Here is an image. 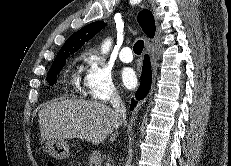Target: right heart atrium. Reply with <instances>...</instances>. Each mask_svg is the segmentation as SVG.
<instances>
[{
    "mask_svg": "<svg viewBox=\"0 0 231 166\" xmlns=\"http://www.w3.org/2000/svg\"><path fill=\"white\" fill-rule=\"evenodd\" d=\"M84 60L86 63L84 76L86 94L98 101L119 98V92L112 79L111 72L103 60L91 51L85 54Z\"/></svg>",
    "mask_w": 231,
    "mask_h": 166,
    "instance_id": "d8ad5b80",
    "label": "right heart atrium"
}]
</instances>
